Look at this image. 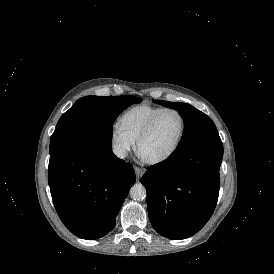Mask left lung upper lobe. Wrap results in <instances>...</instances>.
Wrapping results in <instances>:
<instances>
[{
    "label": "left lung upper lobe",
    "mask_w": 274,
    "mask_h": 274,
    "mask_svg": "<svg viewBox=\"0 0 274 274\" xmlns=\"http://www.w3.org/2000/svg\"><path fill=\"white\" fill-rule=\"evenodd\" d=\"M155 102L178 111L184 122L182 140L172 155L201 144L221 142L214 122L203 112L186 103L163 100H155Z\"/></svg>",
    "instance_id": "5c2ea615"
}]
</instances>
